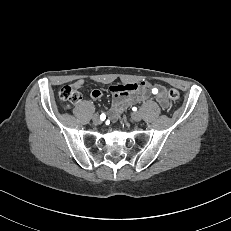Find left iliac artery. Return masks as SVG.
<instances>
[{"mask_svg":"<svg viewBox=\"0 0 231 231\" xmlns=\"http://www.w3.org/2000/svg\"><path fill=\"white\" fill-rule=\"evenodd\" d=\"M152 93H153L154 95L157 94V93H158V89H157V88L152 89Z\"/></svg>","mask_w":231,"mask_h":231,"instance_id":"44dca946","label":"left iliac artery"}]
</instances>
